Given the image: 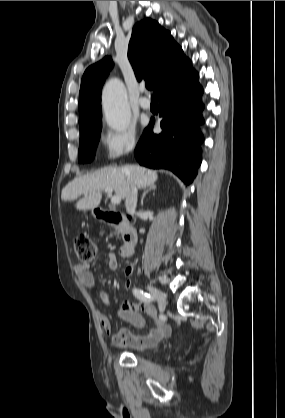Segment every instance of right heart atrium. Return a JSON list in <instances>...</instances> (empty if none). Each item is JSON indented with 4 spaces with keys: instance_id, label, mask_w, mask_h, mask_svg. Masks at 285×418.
<instances>
[{
    "instance_id": "d8ad5b80",
    "label": "right heart atrium",
    "mask_w": 285,
    "mask_h": 418,
    "mask_svg": "<svg viewBox=\"0 0 285 418\" xmlns=\"http://www.w3.org/2000/svg\"><path fill=\"white\" fill-rule=\"evenodd\" d=\"M103 146L108 160H116L134 150L137 134L134 127L122 131L107 130L103 134Z\"/></svg>"
}]
</instances>
